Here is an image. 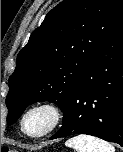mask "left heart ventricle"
<instances>
[{"mask_svg": "<svg viewBox=\"0 0 123 152\" xmlns=\"http://www.w3.org/2000/svg\"><path fill=\"white\" fill-rule=\"evenodd\" d=\"M51 122V114L47 110H36L28 115L25 128L29 133L37 134L44 131Z\"/></svg>", "mask_w": 123, "mask_h": 152, "instance_id": "left-heart-ventricle-1", "label": "left heart ventricle"}]
</instances>
